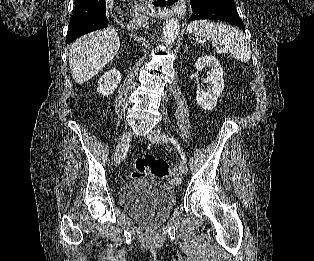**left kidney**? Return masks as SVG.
<instances>
[{
  "instance_id": "obj_1",
  "label": "left kidney",
  "mask_w": 314,
  "mask_h": 261,
  "mask_svg": "<svg viewBox=\"0 0 314 261\" xmlns=\"http://www.w3.org/2000/svg\"><path fill=\"white\" fill-rule=\"evenodd\" d=\"M205 66L211 67V71L202 83H209L210 87L207 91L198 87L196 90V101L204 110H213L224 89L223 70L219 61L209 55L199 57L195 63L197 71H201Z\"/></svg>"
}]
</instances>
